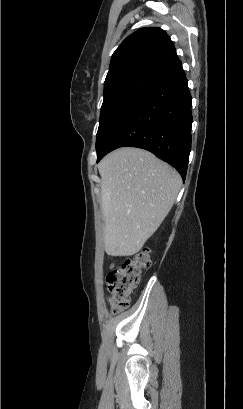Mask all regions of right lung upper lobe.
<instances>
[{
	"label": "right lung upper lobe",
	"mask_w": 243,
	"mask_h": 409,
	"mask_svg": "<svg viewBox=\"0 0 243 409\" xmlns=\"http://www.w3.org/2000/svg\"><path fill=\"white\" fill-rule=\"evenodd\" d=\"M181 64L169 36L160 28H141L128 36L112 55L104 90L136 76L164 78Z\"/></svg>",
	"instance_id": "right-lung-upper-lobe-1"
}]
</instances>
